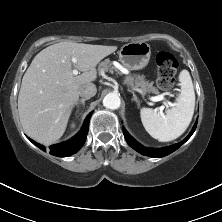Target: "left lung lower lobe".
Instances as JSON below:
<instances>
[{
    "instance_id": "obj_1",
    "label": "left lung lower lobe",
    "mask_w": 222,
    "mask_h": 222,
    "mask_svg": "<svg viewBox=\"0 0 222 222\" xmlns=\"http://www.w3.org/2000/svg\"><path fill=\"white\" fill-rule=\"evenodd\" d=\"M196 126H197V121H196L193 129L191 130L190 134L184 139L183 142L174 144L169 147L159 148V149L146 148V147L142 146L135 139H133L124 128H123V134H124V137H125L127 143L133 149H135L136 151H138L142 155L150 156V157H164V156L169 155L170 153L174 152L175 150H177L184 142H186L191 137V135L194 133Z\"/></svg>"
}]
</instances>
